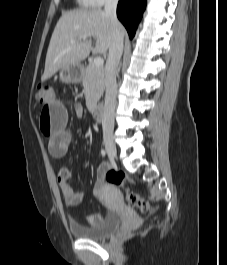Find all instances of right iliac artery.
Returning <instances> with one entry per match:
<instances>
[{
  "label": "right iliac artery",
  "instance_id": "right-iliac-artery-1",
  "mask_svg": "<svg viewBox=\"0 0 227 265\" xmlns=\"http://www.w3.org/2000/svg\"><path fill=\"white\" fill-rule=\"evenodd\" d=\"M101 154H102L103 157L106 155V152H105L104 149L101 150Z\"/></svg>",
  "mask_w": 227,
  "mask_h": 265
}]
</instances>
